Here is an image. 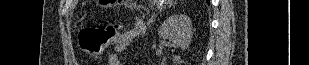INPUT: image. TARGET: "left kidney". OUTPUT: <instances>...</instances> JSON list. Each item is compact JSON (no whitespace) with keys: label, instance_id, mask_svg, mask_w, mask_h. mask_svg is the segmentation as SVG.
<instances>
[{"label":"left kidney","instance_id":"1","mask_svg":"<svg viewBox=\"0 0 309 65\" xmlns=\"http://www.w3.org/2000/svg\"><path fill=\"white\" fill-rule=\"evenodd\" d=\"M159 36L168 39L182 50L189 47L192 39V23L187 15H172L167 18L159 29ZM173 61L180 62V56H175Z\"/></svg>","mask_w":309,"mask_h":65}]
</instances>
